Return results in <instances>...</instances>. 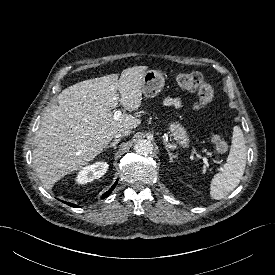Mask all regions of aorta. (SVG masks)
Listing matches in <instances>:
<instances>
[{"label": "aorta", "instance_id": "aorta-1", "mask_svg": "<svg viewBox=\"0 0 275 275\" xmlns=\"http://www.w3.org/2000/svg\"><path fill=\"white\" fill-rule=\"evenodd\" d=\"M134 150L141 156H148L153 151V144L149 140L142 139L135 144Z\"/></svg>", "mask_w": 275, "mask_h": 275}]
</instances>
